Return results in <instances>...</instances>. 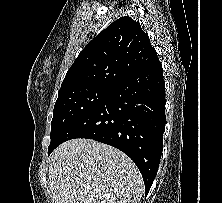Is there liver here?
I'll use <instances>...</instances> for the list:
<instances>
[{"mask_svg": "<svg viewBox=\"0 0 222 203\" xmlns=\"http://www.w3.org/2000/svg\"><path fill=\"white\" fill-rule=\"evenodd\" d=\"M53 203H139L143 179L120 150L90 139L58 146L49 157Z\"/></svg>", "mask_w": 222, "mask_h": 203, "instance_id": "liver-1", "label": "liver"}]
</instances>
